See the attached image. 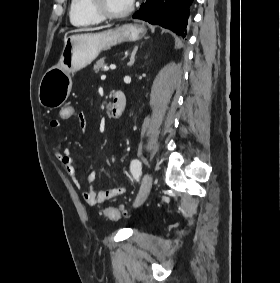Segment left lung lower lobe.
I'll list each match as a JSON object with an SVG mask.
<instances>
[{"label":"left lung lower lobe","mask_w":280,"mask_h":283,"mask_svg":"<svg viewBox=\"0 0 280 283\" xmlns=\"http://www.w3.org/2000/svg\"><path fill=\"white\" fill-rule=\"evenodd\" d=\"M193 0H146L133 18L170 29L184 36Z\"/></svg>","instance_id":"0a47b994"}]
</instances>
